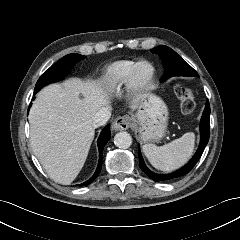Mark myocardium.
<instances>
[{
    "label": "myocardium",
    "mask_w": 240,
    "mask_h": 240,
    "mask_svg": "<svg viewBox=\"0 0 240 240\" xmlns=\"http://www.w3.org/2000/svg\"><path fill=\"white\" fill-rule=\"evenodd\" d=\"M147 66L149 71L145 77H140L139 70ZM156 69L152 62L141 60L135 63L127 77V88L134 94H141L150 90L154 84Z\"/></svg>",
    "instance_id": "myocardium-1"
}]
</instances>
